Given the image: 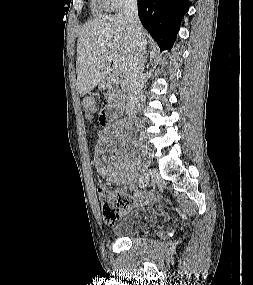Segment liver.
<instances>
[{"label":"liver","instance_id":"liver-1","mask_svg":"<svg viewBox=\"0 0 253 285\" xmlns=\"http://www.w3.org/2000/svg\"><path fill=\"white\" fill-rule=\"evenodd\" d=\"M147 40L146 31L143 32ZM128 20L122 12L90 21L82 27L77 42V88L89 93L107 75L115 52L124 72L132 45Z\"/></svg>","mask_w":253,"mask_h":285}]
</instances>
